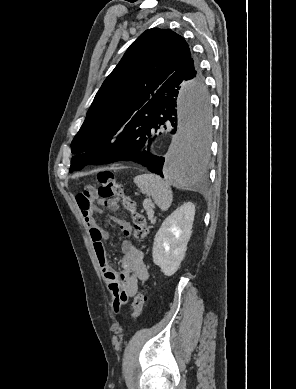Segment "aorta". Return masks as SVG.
Masks as SVG:
<instances>
[{
	"label": "aorta",
	"mask_w": 296,
	"mask_h": 389,
	"mask_svg": "<svg viewBox=\"0 0 296 389\" xmlns=\"http://www.w3.org/2000/svg\"><path fill=\"white\" fill-rule=\"evenodd\" d=\"M178 130L166 157L165 176L190 189L211 162V95L206 81H181L177 91Z\"/></svg>",
	"instance_id": "1"
}]
</instances>
